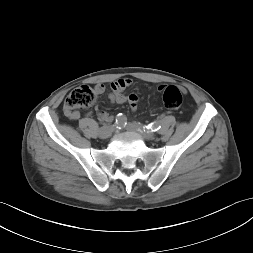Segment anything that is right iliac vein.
I'll list each match as a JSON object with an SVG mask.
<instances>
[{
  "instance_id": "1",
  "label": "right iliac vein",
  "mask_w": 253,
  "mask_h": 253,
  "mask_svg": "<svg viewBox=\"0 0 253 253\" xmlns=\"http://www.w3.org/2000/svg\"><path fill=\"white\" fill-rule=\"evenodd\" d=\"M113 127L112 126H104L99 131V136L102 139H107L112 135Z\"/></svg>"
}]
</instances>
